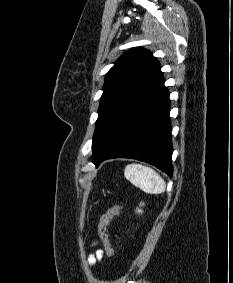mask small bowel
<instances>
[{
	"label": "small bowel",
	"instance_id": "1",
	"mask_svg": "<svg viewBox=\"0 0 233 283\" xmlns=\"http://www.w3.org/2000/svg\"><path fill=\"white\" fill-rule=\"evenodd\" d=\"M97 242H93V246H96ZM103 256L102 250L98 249L94 254H91L88 258V264L93 266L97 261L101 260Z\"/></svg>",
	"mask_w": 233,
	"mask_h": 283
}]
</instances>
